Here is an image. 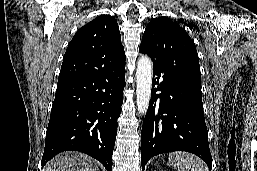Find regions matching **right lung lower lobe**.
Instances as JSON below:
<instances>
[{"mask_svg": "<svg viewBox=\"0 0 257 171\" xmlns=\"http://www.w3.org/2000/svg\"><path fill=\"white\" fill-rule=\"evenodd\" d=\"M124 65L125 62L86 76L58 80L42 167L60 152L75 150L92 156L112 171L125 86Z\"/></svg>", "mask_w": 257, "mask_h": 171, "instance_id": "obj_1", "label": "right lung lower lobe"}]
</instances>
